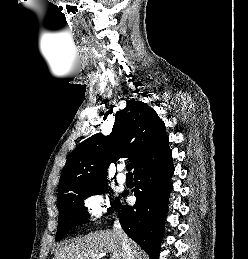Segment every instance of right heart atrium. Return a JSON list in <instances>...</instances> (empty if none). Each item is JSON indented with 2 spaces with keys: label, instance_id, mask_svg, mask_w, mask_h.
<instances>
[{
  "label": "right heart atrium",
  "instance_id": "d8ad5b80",
  "mask_svg": "<svg viewBox=\"0 0 248 259\" xmlns=\"http://www.w3.org/2000/svg\"><path fill=\"white\" fill-rule=\"evenodd\" d=\"M84 205L93 218H100L109 206V199L100 193H94L89 195L84 200Z\"/></svg>",
  "mask_w": 248,
  "mask_h": 259
}]
</instances>
